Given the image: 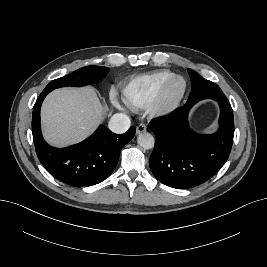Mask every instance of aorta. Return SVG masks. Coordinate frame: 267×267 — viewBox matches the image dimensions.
Here are the masks:
<instances>
[{
    "instance_id": "obj_1",
    "label": "aorta",
    "mask_w": 267,
    "mask_h": 267,
    "mask_svg": "<svg viewBox=\"0 0 267 267\" xmlns=\"http://www.w3.org/2000/svg\"><path fill=\"white\" fill-rule=\"evenodd\" d=\"M137 142L144 149H151L154 147V137L148 132L139 134Z\"/></svg>"
}]
</instances>
